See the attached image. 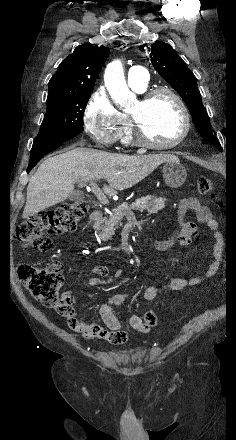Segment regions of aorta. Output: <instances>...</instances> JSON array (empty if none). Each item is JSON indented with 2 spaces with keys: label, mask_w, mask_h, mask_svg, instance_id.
Listing matches in <instances>:
<instances>
[{
  "label": "aorta",
  "mask_w": 236,
  "mask_h": 440,
  "mask_svg": "<svg viewBox=\"0 0 236 440\" xmlns=\"http://www.w3.org/2000/svg\"><path fill=\"white\" fill-rule=\"evenodd\" d=\"M104 83L119 108H127L134 104L136 96L127 86L121 61L115 60L107 65Z\"/></svg>",
  "instance_id": "1"
}]
</instances>
